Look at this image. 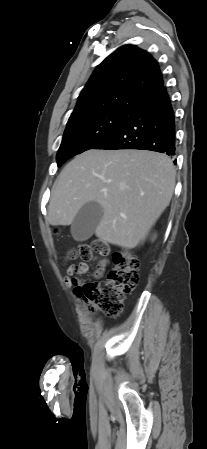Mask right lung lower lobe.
<instances>
[{
  "label": "right lung lower lobe",
  "mask_w": 207,
  "mask_h": 449,
  "mask_svg": "<svg viewBox=\"0 0 207 449\" xmlns=\"http://www.w3.org/2000/svg\"><path fill=\"white\" fill-rule=\"evenodd\" d=\"M92 149L151 150L173 158L176 154L175 113L168 93L134 111L121 128Z\"/></svg>",
  "instance_id": "98d812e1"
}]
</instances>
